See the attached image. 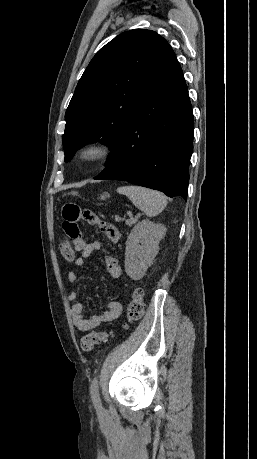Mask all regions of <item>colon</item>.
Instances as JSON below:
<instances>
[{"instance_id": "obj_1", "label": "colon", "mask_w": 257, "mask_h": 459, "mask_svg": "<svg viewBox=\"0 0 257 459\" xmlns=\"http://www.w3.org/2000/svg\"><path fill=\"white\" fill-rule=\"evenodd\" d=\"M64 228V224H63ZM69 237V236H68ZM60 253L64 260L74 261L77 251H73L70 241H63L60 244ZM143 291L136 289L133 291L130 302L127 307V321L124 324L127 327L130 323L139 320L144 313ZM111 336V333L105 331H93L84 335L80 340L81 349L85 352L92 351L95 346L106 342Z\"/></svg>"}]
</instances>
